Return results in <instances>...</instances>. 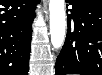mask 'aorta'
I'll return each instance as SVG.
<instances>
[{
	"label": "aorta",
	"instance_id": "obj_1",
	"mask_svg": "<svg viewBox=\"0 0 102 75\" xmlns=\"http://www.w3.org/2000/svg\"><path fill=\"white\" fill-rule=\"evenodd\" d=\"M49 10L51 44L55 49H58L65 40L66 16L64 0H50Z\"/></svg>",
	"mask_w": 102,
	"mask_h": 75
}]
</instances>
